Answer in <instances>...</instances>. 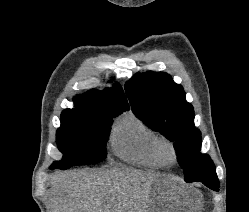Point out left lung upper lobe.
I'll return each instance as SVG.
<instances>
[{
	"mask_svg": "<svg viewBox=\"0 0 249 212\" xmlns=\"http://www.w3.org/2000/svg\"><path fill=\"white\" fill-rule=\"evenodd\" d=\"M132 111L171 142L187 181L218 179L210 157L201 154V133L194 126V111L181 85L164 72L136 74L125 84Z\"/></svg>",
	"mask_w": 249,
	"mask_h": 212,
	"instance_id": "1",
	"label": "left lung upper lobe"
}]
</instances>
